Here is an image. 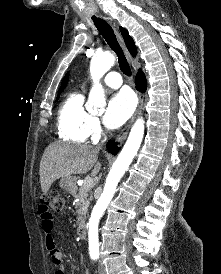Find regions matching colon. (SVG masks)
Instances as JSON below:
<instances>
[{
	"label": "colon",
	"mask_w": 221,
	"mask_h": 274,
	"mask_svg": "<svg viewBox=\"0 0 221 274\" xmlns=\"http://www.w3.org/2000/svg\"><path fill=\"white\" fill-rule=\"evenodd\" d=\"M41 203L55 211H60L63 208L64 200L57 191L53 190L42 197Z\"/></svg>",
	"instance_id": "colon-1"
}]
</instances>
